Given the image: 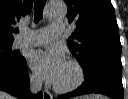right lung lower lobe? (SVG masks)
<instances>
[{
	"mask_svg": "<svg viewBox=\"0 0 128 99\" xmlns=\"http://www.w3.org/2000/svg\"><path fill=\"white\" fill-rule=\"evenodd\" d=\"M29 86V75L24 57L14 65L0 64V90L19 99H42L41 93L32 95Z\"/></svg>",
	"mask_w": 128,
	"mask_h": 99,
	"instance_id": "1",
	"label": "right lung lower lobe"
}]
</instances>
